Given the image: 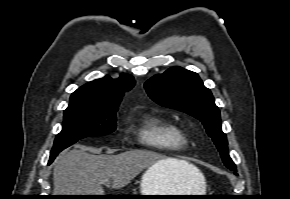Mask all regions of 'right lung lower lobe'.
Returning a JSON list of instances; mask_svg holds the SVG:
<instances>
[{
	"label": "right lung lower lobe",
	"mask_w": 290,
	"mask_h": 199,
	"mask_svg": "<svg viewBox=\"0 0 290 199\" xmlns=\"http://www.w3.org/2000/svg\"><path fill=\"white\" fill-rule=\"evenodd\" d=\"M55 157H51L49 160V164L54 160Z\"/></svg>",
	"instance_id": "right-lung-lower-lobe-1"
}]
</instances>
